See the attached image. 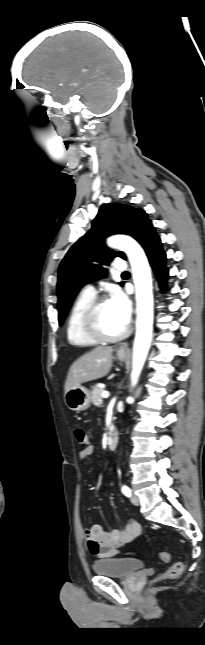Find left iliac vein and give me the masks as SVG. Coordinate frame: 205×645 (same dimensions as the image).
I'll list each match as a JSON object with an SVG mask.
<instances>
[{
  "instance_id": "left-iliac-vein-1",
  "label": "left iliac vein",
  "mask_w": 205,
  "mask_h": 645,
  "mask_svg": "<svg viewBox=\"0 0 205 645\" xmlns=\"http://www.w3.org/2000/svg\"><path fill=\"white\" fill-rule=\"evenodd\" d=\"M130 500L136 506H138L140 504L139 497L137 495H135V494L131 495Z\"/></svg>"
}]
</instances>
